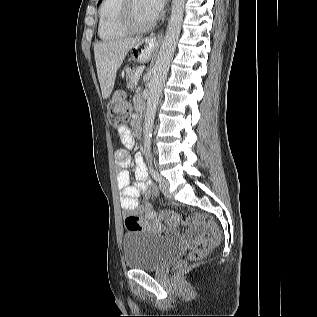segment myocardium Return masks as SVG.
<instances>
[{
	"mask_svg": "<svg viewBox=\"0 0 317 317\" xmlns=\"http://www.w3.org/2000/svg\"><path fill=\"white\" fill-rule=\"evenodd\" d=\"M117 20L119 26L127 33L140 34L151 30L156 19H152L150 22L144 25H136L132 18V0H121L119 5Z\"/></svg>",
	"mask_w": 317,
	"mask_h": 317,
	"instance_id": "obj_1",
	"label": "myocardium"
}]
</instances>
